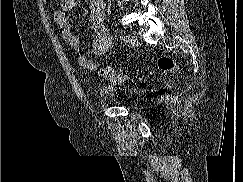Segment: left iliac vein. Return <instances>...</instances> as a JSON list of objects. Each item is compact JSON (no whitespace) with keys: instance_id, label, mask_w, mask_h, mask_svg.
<instances>
[{"instance_id":"obj_1","label":"left iliac vein","mask_w":243,"mask_h":182,"mask_svg":"<svg viewBox=\"0 0 243 182\" xmlns=\"http://www.w3.org/2000/svg\"><path fill=\"white\" fill-rule=\"evenodd\" d=\"M128 42L129 43H132V44H135L138 42V38L136 35H133V34H129L128 35Z\"/></svg>"}]
</instances>
